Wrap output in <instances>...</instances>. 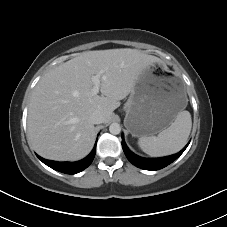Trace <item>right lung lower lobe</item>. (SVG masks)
<instances>
[{
    "label": "right lung lower lobe",
    "instance_id": "right-lung-lower-lobe-1",
    "mask_svg": "<svg viewBox=\"0 0 227 227\" xmlns=\"http://www.w3.org/2000/svg\"><path fill=\"white\" fill-rule=\"evenodd\" d=\"M96 153V145L94 146L91 153L85 157L84 159L77 161V162H56L46 160L37 155V157L47 166L51 167L54 170H57L62 173L66 174H76L87 168L93 161L94 156Z\"/></svg>",
    "mask_w": 227,
    "mask_h": 227
}]
</instances>
